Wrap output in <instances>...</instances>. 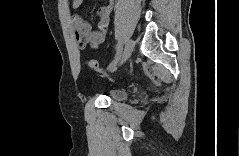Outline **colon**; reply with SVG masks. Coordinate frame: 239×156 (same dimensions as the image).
<instances>
[{
	"label": "colon",
	"mask_w": 239,
	"mask_h": 156,
	"mask_svg": "<svg viewBox=\"0 0 239 156\" xmlns=\"http://www.w3.org/2000/svg\"><path fill=\"white\" fill-rule=\"evenodd\" d=\"M87 66L99 74H105V70L99 65L96 60H88Z\"/></svg>",
	"instance_id": "1"
}]
</instances>
